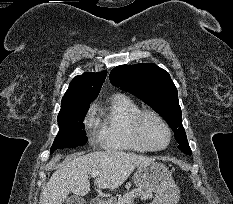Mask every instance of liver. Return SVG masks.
I'll return each mask as SVG.
<instances>
[{
	"mask_svg": "<svg viewBox=\"0 0 233 204\" xmlns=\"http://www.w3.org/2000/svg\"><path fill=\"white\" fill-rule=\"evenodd\" d=\"M61 157L56 155L52 162ZM152 161V158L116 150L74 157L53 173L42 190L39 204H63L70 192L77 196L86 195L90 191L89 176L95 170L100 171L95 185L101 189H117L136 167Z\"/></svg>",
	"mask_w": 233,
	"mask_h": 204,
	"instance_id": "obj_1",
	"label": "liver"
}]
</instances>
